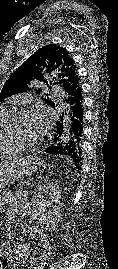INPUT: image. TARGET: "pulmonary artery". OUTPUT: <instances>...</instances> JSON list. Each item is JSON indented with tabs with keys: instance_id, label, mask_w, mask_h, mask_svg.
<instances>
[{
	"instance_id": "1",
	"label": "pulmonary artery",
	"mask_w": 118,
	"mask_h": 269,
	"mask_svg": "<svg viewBox=\"0 0 118 269\" xmlns=\"http://www.w3.org/2000/svg\"><path fill=\"white\" fill-rule=\"evenodd\" d=\"M54 97L57 98V99H60L61 98V94L59 92H55L54 93Z\"/></svg>"
}]
</instances>
